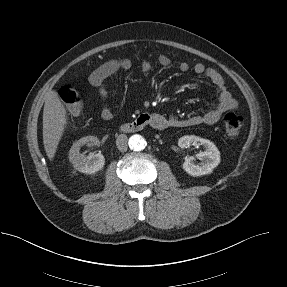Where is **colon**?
Returning <instances> with one entry per match:
<instances>
[{
  "label": "colon",
  "mask_w": 287,
  "mask_h": 287,
  "mask_svg": "<svg viewBox=\"0 0 287 287\" xmlns=\"http://www.w3.org/2000/svg\"><path fill=\"white\" fill-rule=\"evenodd\" d=\"M60 99L67 105L70 113L78 114L81 110V96L77 89L73 86L65 85L59 89ZM244 124L241 115L235 112L227 113L223 118V126L225 133L230 137L237 136Z\"/></svg>",
  "instance_id": "obj_1"
}]
</instances>
